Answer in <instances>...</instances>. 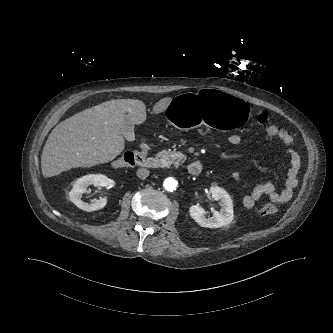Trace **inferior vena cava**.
<instances>
[{
    "mask_svg": "<svg viewBox=\"0 0 333 333\" xmlns=\"http://www.w3.org/2000/svg\"><path fill=\"white\" fill-rule=\"evenodd\" d=\"M137 176L141 179H145L149 176V170L146 168H139L136 172Z\"/></svg>",
    "mask_w": 333,
    "mask_h": 333,
    "instance_id": "obj_1",
    "label": "inferior vena cava"
}]
</instances>
